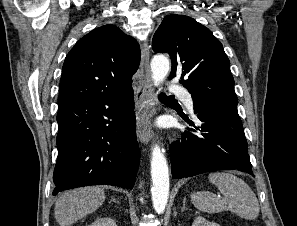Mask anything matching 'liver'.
Wrapping results in <instances>:
<instances>
[{"label": "liver", "mask_w": 297, "mask_h": 226, "mask_svg": "<svg viewBox=\"0 0 297 226\" xmlns=\"http://www.w3.org/2000/svg\"><path fill=\"white\" fill-rule=\"evenodd\" d=\"M105 200L99 187H84L62 193L55 203V219L60 226H71L94 212Z\"/></svg>", "instance_id": "liver-1"}]
</instances>
